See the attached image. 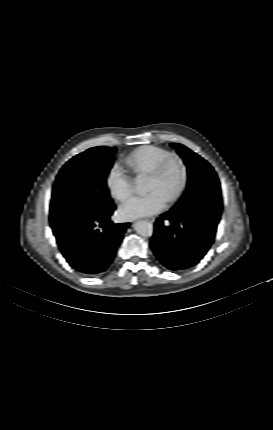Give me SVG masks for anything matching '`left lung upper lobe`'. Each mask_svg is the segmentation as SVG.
Segmentation results:
<instances>
[{"label":"left lung upper lobe","mask_w":273,"mask_h":430,"mask_svg":"<svg viewBox=\"0 0 273 430\" xmlns=\"http://www.w3.org/2000/svg\"><path fill=\"white\" fill-rule=\"evenodd\" d=\"M171 146L177 150L188 168L187 188L173 208L180 207L185 200L203 192L221 195L217 174L207 161L181 144L172 143Z\"/></svg>","instance_id":"obj_1"}]
</instances>
